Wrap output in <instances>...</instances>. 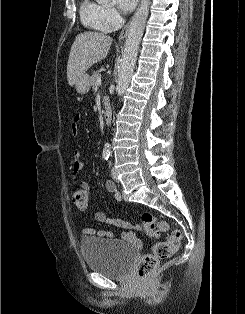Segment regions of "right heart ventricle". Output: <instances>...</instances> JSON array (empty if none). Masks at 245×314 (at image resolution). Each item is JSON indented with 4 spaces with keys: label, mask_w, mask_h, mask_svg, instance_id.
I'll list each match as a JSON object with an SVG mask.
<instances>
[{
    "label": "right heart ventricle",
    "mask_w": 245,
    "mask_h": 314,
    "mask_svg": "<svg viewBox=\"0 0 245 314\" xmlns=\"http://www.w3.org/2000/svg\"><path fill=\"white\" fill-rule=\"evenodd\" d=\"M103 6L92 1L83 0L80 4V17L83 24L96 31L106 32L102 24Z\"/></svg>",
    "instance_id": "1"
}]
</instances>
